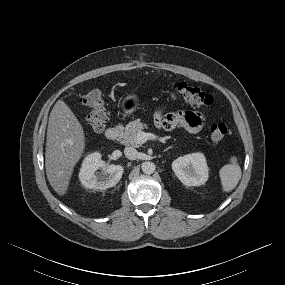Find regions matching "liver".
I'll return each mask as SVG.
<instances>
[{
    "label": "liver",
    "mask_w": 285,
    "mask_h": 285,
    "mask_svg": "<svg viewBox=\"0 0 285 285\" xmlns=\"http://www.w3.org/2000/svg\"><path fill=\"white\" fill-rule=\"evenodd\" d=\"M85 149L83 127L69 106L58 100L49 116L45 168L55 192L63 196L68 190L74 166Z\"/></svg>",
    "instance_id": "obj_1"
}]
</instances>
